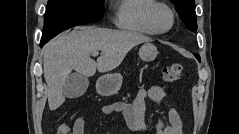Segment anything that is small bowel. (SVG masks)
Instances as JSON below:
<instances>
[{"instance_id": "obj_1", "label": "small bowel", "mask_w": 239, "mask_h": 134, "mask_svg": "<svg viewBox=\"0 0 239 134\" xmlns=\"http://www.w3.org/2000/svg\"><path fill=\"white\" fill-rule=\"evenodd\" d=\"M167 96L166 90L161 86H152L148 90H140L131 103L113 102L102 106L101 112L110 116L114 114H122L126 120L128 128L139 134H147L148 128L145 121V105L146 98L161 104ZM85 116L80 115L76 118L72 134H84ZM155 129L157 134H182V123L178 111L172 107L168 108L167 121H155Z\"/></svg>"}]
</instances>
